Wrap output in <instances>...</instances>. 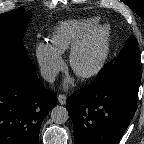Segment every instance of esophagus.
Listing matches in <instances>:
<instances>
[{"mask_svg": "<svg viewBox=\"0 0 144 144\" xmlns=\"http://www.w3.org/2000/svg\"><path fill=\"white\" fill-rule=\"evenodd\" d=\"M57 98H58V101L61 105H64L66 103V99H67L66 95L59 94Z\"/></svg>", "mask_w": 144, "mask_h": 144, "instance_id": "1", "label": "esophagus"}]
</instances>
